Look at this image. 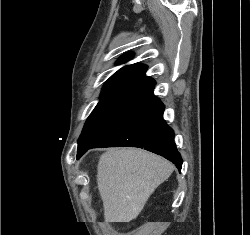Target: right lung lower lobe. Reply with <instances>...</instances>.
<instances>
[{
	"instance_id": "right-lung-lower-lobe-1",
	"label": "right lung lower lobe",
	"mask_w": 250,
	"mask_h": 235,
	"mask_svg": "<svg viewBox=\"0 0 250 235\" xmlns=\"http://www.w3.org/2000/svg\"><path fill=\"white\" fill-rule=\"evenodd\" d=\"M154 85L151 83L126 100L78 142L77 158L91 148L139 147L163 156L181 170L183 161L174 132L163 119L164 105L154 95Z\"/></svg>"
}]
</instances>
